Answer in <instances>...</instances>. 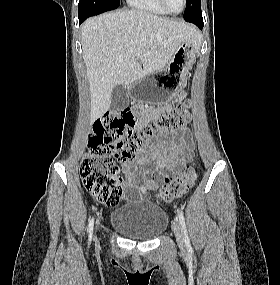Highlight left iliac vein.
<instances>
[{
    "instance_id": "obj_1",
    "label": "left iliac vein",
    "mask_w": 280,
    "mask_h": 285,
    "mask_svg": "<svg viewBox=\"0 0 280 285\" xmlns=\"http://www.w3.org/2000/svg\"><path fill=\"white\" fill-rule=\"evenodd\" d=\"M173 231H174L177 243L179 245H183V243H184V235H183V230H182L181 224L179 223L178 220H175L173 222Z\"/></svg>"
}]
</instances>
